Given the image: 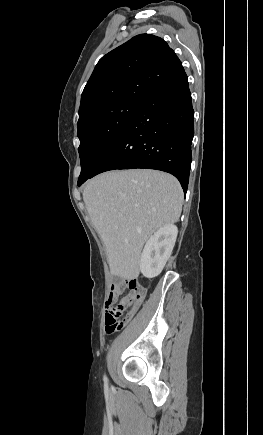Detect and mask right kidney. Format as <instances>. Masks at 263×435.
<instances>
[{
    "label": "right kidney",
    "mask_w": 263,
    "mask_h": 435,
    "mask_svg": "<svg viewBox=\"0 0 263 435\" xmlns=\"http://www.w3.org/2000/svg\"><path fill=\"white\" fill-rule=\"evenodd\" d=\"M177 234V226L167 224L148 239L140 259V270L145 277L154 278L161 273L171 255Z\"/></svg>",
    "instance_id": "1"
}]
</instances>
